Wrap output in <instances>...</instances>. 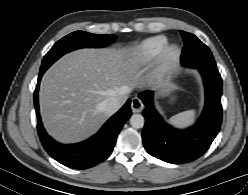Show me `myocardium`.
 Segmentation results:
<instances>
[{"instance_id": "f54148a6", "label": "myocardium", "mask_w": 248, "mask_h": 195, "mask_svg": "<svg viewBox=\"0 0 248 195\" xmlns=\"http://www.w3.org/2000/svg\"><path fill=\"white\" fill-rule=\"evenodd\" d=\"M181 56V49L176 44L167 45L159 56V69L164 71L173 67Z\"/></svg>"}]
</instances>
